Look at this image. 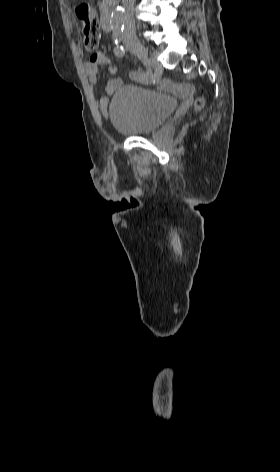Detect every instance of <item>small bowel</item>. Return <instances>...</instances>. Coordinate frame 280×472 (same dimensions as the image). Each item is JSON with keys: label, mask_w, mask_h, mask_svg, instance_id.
I'll return each mask as SVG.
<instances>
[{"label": "small bowel", "mask_w": 280, "mask_h": 472, "mask_svg": "<svg viewBox=\"0 0 280 472\" xmlns=\"http://www.w3.org/2000/svg\"><path fill=\"white\" fill-rule=\"evenodd\" d=\"M100 66H108V72L112 75L116 74L118 69L116 66L112 65L109 58L103 54L102 52L98 51L89 57V59L84 64V70L88 77L89 83L91 85H96L98 82V70ZM131 78L133 80H138L136 77V73H132ZM122 80L115 78L110 79L106 82L104 86V95L100 98L99 101V108L103 115L107 113V107L109 104V97L121 86ZM159 87L163 90L169 91L171 93H182L185 91H189L188 88H184L175 84L170 79H162L158 82Z\"/></svg>", "instance_id": "small-bowel-1"}]
</instances>
